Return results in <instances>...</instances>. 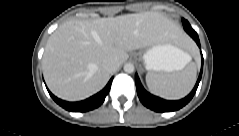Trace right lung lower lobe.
I'll return each instance as SVG.
<instances>
[{
	"label": "right lung lower lobe",
	"mask_w": 239,
	"mask_h": 136,
	"mask_svg": "<svg viewBox=\"0 0 239 136\" xmlns=\"http://www.w3.org/2000/svg\"><path fill=\"white\" fill-rule=\"evenodd\" d=\"M112 80L113 78L110 79V81L105 86V88L101 90L99 93L95 94L94 96L86 100L79 101V102H67V101L61 100L57 98L56 96H54L48 89L47 90L50 96L53 98V100L64 109L71 112H86L99 107L104 102L105 97L109 93Z\"/></svg>",
	"instance_id": "98d812e1"
}]
</instances>
